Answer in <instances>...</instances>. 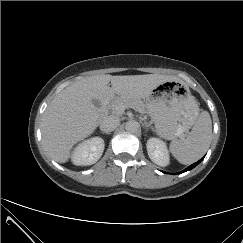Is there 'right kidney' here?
I'll return each mask as SVG.
<instances>
[{"label":"right kidney","mask_w":243,"mask_h":243,"mask_svg":"<svg viewBox=\"0 0 243 243\" xmlns=\"http://www.w3.org/2000/svg\"><path fill=\"white\" fill-rule=\"evenodd\" d=\"M104 140L93 137L80 143L73 151L71 159L75 165H92L96 163L104 151Z\"/></svg>","instance_id":"right-kidney-1"}]
</instances>
